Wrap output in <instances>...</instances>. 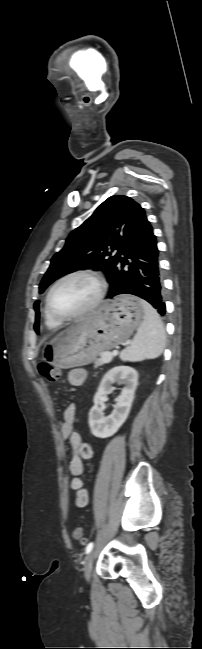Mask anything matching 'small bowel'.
Here are the masks:
<instances>
[{
  "label": "small bowel",
  "instance_id": "1",
  "mask_svg": "<svg viewBox=\"0 0 202 649\" xmlns=\"http://www.w3.org/2000/svg\"><path fill=\"white\" fill-rule=\"evenodd\" d=\"M87 373L83 368H75L70 371L68 379L70 384L80 386L84 383ZM75 406L67 405L62 414L60 435L63 441L68 442L70 449L69 472L73 478L71 486L76 491V505L84 507L88 502L87 490L83 487L81 476L84 472L83 460L92 455L91 447L83 443L81 435L74 430Z\"/></svg>",
  "mask_w": 202,
  "mask_h": 649
}]
</instances>
